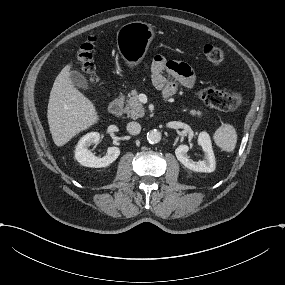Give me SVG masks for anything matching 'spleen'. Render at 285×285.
<instances>
[{
	"label": "spleen",
	"instance_id": "3e777b00",
	"mask_svg": "<svg viewBox=\"0 0 285 285\" xmlns=\"http://www.w3.org/2000/svg\"><path fill=\"white\" fill-rule=\"evenodd\" d=\"M213 139L223 151L232 152L237 143V133L230 124H223L214 133Z\"/></svg>",
	"mask_w": 285,
	"mask_h": 285
}]
</instances>
